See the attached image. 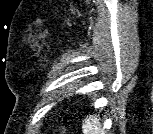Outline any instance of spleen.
I'll list each match as a JSON object with an SVG mask.
<instances>
[{
    "label": "spleen",
    "mask_w": 153,
    "mask_h": 134,
    "mask_svg": "<svg viewBox=\"0 0 153 134\" xmlns=\"http://www.w3.org/2000/svg\"><path fill=\"white\" fill-rule=\"evenodd\" d=\"M82 129L84 134H104V130L101 129L99 120L96 117L85 119Z\"/></svg>",
    "instance_id": "1"
}]
</instances>
